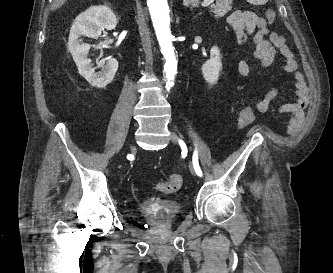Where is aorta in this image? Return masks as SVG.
Returning a JSON list of instances; mask_svg holds the SVG:
<instances>
[{
	"instance_id": "aorta-1",
	"label": "aorta",
	"mask_w": 333,
	"mask_h": 273,
	"mask_svg": "<svg viewBox=\"0 0 333 273\" xmlns=\"http://www.w3.org/2000/svg\"><path fill=\"white\" fill-rule=\"evenodd\" d=\"M155 33L165 58L164 72L167 78L166 87L169 89L174 84L177 73V59L170 31L169 6L167 0H147Z\"/></svg>"
}]
</instances>
